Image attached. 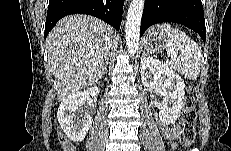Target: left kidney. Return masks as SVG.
Segmentation results:
<instances>
[{"label": "left kidney", "mask_w": 231, "mask_h": 151, "mask_svg": "<svg viewBox=\"0 0 231 151\" xmlns=\"http://www.w3.org/2000/svg\"><path fill=\"white\" fill-rule=\"evenodd\" d=\"M141 80L144 86L159 84L163 92L159 120L174 124L181 114L185 99V83L168 65L152 57L141 59Z\"/></svg>", "instance_id": "left-kidney-1"}]
</instances>
